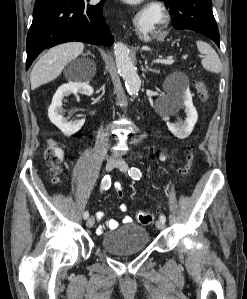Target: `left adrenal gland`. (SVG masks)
I'll return each instance as SVG.
<instances>
[{"instance_id":"1","label":"left adrenal gland","mask_w":247,"mask_h":299,"mask_svg":"<svg viewBox=\"0 0 247 299\" xmlns=\"http://www.w3.org/2000/svg\"><path fill=\"white\" fill-rule=\"evenodd\" d=\"M145 71H151V72H154V73H159V70L150 68V67L147 65V63H145Z\"/></svg>"}]
</instances>
